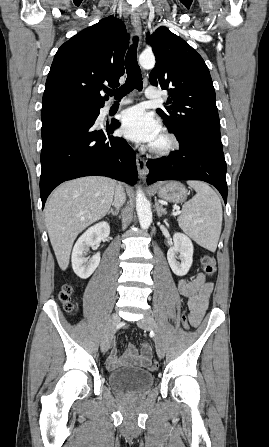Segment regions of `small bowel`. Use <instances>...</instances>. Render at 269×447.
I'll list each match as a JSON object with an SVG mask.
<instances>
[{
	"label": "small bowel",
	"instance_id": "small-bowel-1",
	"mask_svg": "<svg viewBox=\"0 0 269 447\" xmlns=\"http://www.w3.org/2000/svg\"><path fill=\"white\" fill-rule=\"evenodd\" d=\"M213 288V282L208 281L203 273H198L191 281L181 279L177 282L179 293L188 298L190 323L193 326L200 324L208 308ZM144 344H141L140 355H137L136 348L131 344L127 346L122 356H117L116 348H112L107 359L108 368L115 369L127 362H134L136 365L146 368L145 364L147 361H152V356H142L141 349Z\"/></svg>",
	"mask_w": 269,
	"mask_h": 447
}]
</instances>
